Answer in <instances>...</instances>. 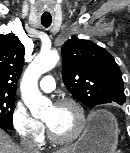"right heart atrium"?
I'll use <instances>...</instances> for the list:
<instances>
[{"instance_id":"1","label":"right heart atrium","mask_w":130,"mask_h":153,"mask_svg":"<svg viewBox=\"0 0 130 153\" xmlns=\"http://www.w3.org/2000/svg\"><path fill=\"white\" fill-rule=\"evenodd\" d=\"M12 127L21 140L40 144L44 140L45 126L34 118L22 102H17L11 114Z\"/></svg>"}]
</instances>
